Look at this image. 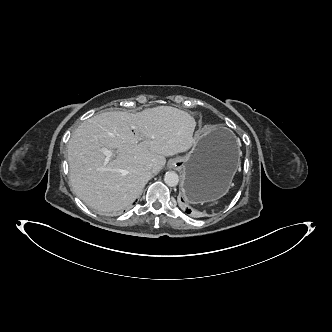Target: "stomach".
<instances>
[{
    "instance_id": "1",
    "label": "stomach",
    "mask_w": 332,
    "mask_h": 332,
    "mask_svg": "<svg viewBox=\"0 0 332 332\" xmlns=\"http://www.w3.org/2000/svg\"><path fill=\"white\" fill-rule=\"evenodd\" d=\"M241 155L239 141L231 130L218 128L201 135L188 154L172 160L183 174L184 199L203 204L223 197L230 189Z\"/></svg>"
}]
</instances>
